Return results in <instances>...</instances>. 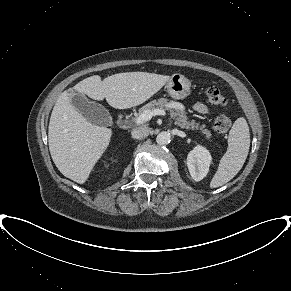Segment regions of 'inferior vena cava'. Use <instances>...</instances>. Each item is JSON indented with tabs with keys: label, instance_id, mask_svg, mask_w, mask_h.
<instances>
[{
	"label": "inferior vena cava",
	"instance_id": "602c4592",
	"mask_svg": "<svg viewBox=\"0 0 291 291\" xmlns=\"http://www.w3.org/2000/svg\"><path fill=\"white\" fill-rule=\"evenodd\" d=\"M150 134V128L146 126L137 127L132 130L131 135L134 139H143Z\"/></svg>",
	"mask_w": 291,
	"mask_h": 291
}]
</instances>
